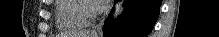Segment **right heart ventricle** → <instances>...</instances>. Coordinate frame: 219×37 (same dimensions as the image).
I'll use <instances>...</instances> for the list:
<instances>
[{
	"label": "right heart ventricle",
	"mask_w": 219,
	"mask_h": 37,
	"mask_svg": "<svg viewBox=\"0 0 219 37\" xmlns=\"http://www.w3.org/2000/svg\"><path fill=\"white\" fill-rule=\"evenodd\" d=\"M85 0H57L56 23L60 30H74L86 27Z\"/></svg>",
	"instance_id": "e07e8e85"
}]
</instances>
